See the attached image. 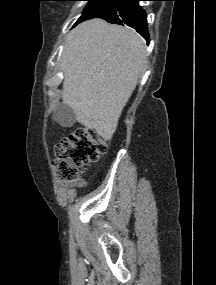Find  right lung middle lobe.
Listing matches in <instances>:
<instances>
[{
    "instance_id": "1",
    "label": "right lung middle lobe",
    "mask_w": 216,
    "mask_h": 285,
    "mask_svg": "<svg viewBox=\"0 0 216 285\" xmlns=\"http://www.w3.org/2000/svg\"><path fill=\"white\" fill-rule=\"evenodd\" d=\"M87 1H89V3L86 6L81 17L77 20L76 24L99 15L100 13L114 6L119 0H87Z\"/></svg>"
}]
</instances>
